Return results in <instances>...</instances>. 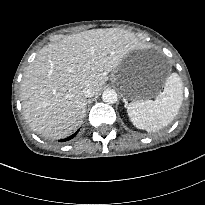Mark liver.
<instances>
[{
    "label": "liver",
    "instance_id": "liver-1",
    "mask_svg": "<svg viewBox=\"0 0 205 205\" xmlns=\"http://www.w3.org/2000/svg\"><path fill=\"white\" fill-rule=\"evenodd\" d=\"M137 48L126 30L93 29L44 46L27 67L21 84L23 114L34 132L61 139L76 131L86 113L83 89L98 94L109 72Z\"/></svg>",
    "mask_w": 205,
    "mask_h": 205
}]
</instances>
